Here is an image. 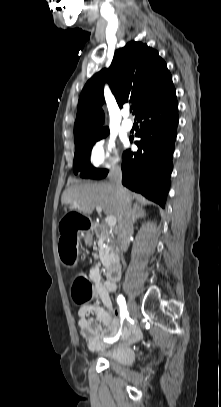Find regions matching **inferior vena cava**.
Instances as JSON below:
<instances>
[{"mask_svg":"<svg viewBox=\"0 0 221 407\" xmlns=\"http://www.w3.org/2000/svg\"><path fill=\"white\" fill-rule=\"evenodd\" d=\"M109 181L115 187L116 196L120 204V216L117 242L121 251H126L133 234L132 209L128 201L126 190L122 186V171L119 163L115 164L109 174Z\"/></svg>","mask_w":221,"mask_h":407,"instance_id":"obj_1","label":"inferior vena cava"}]
</instances>
